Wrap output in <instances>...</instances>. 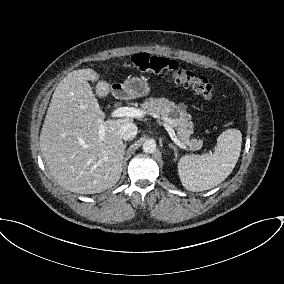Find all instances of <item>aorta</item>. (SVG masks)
<instances>
[{"mask_svg": "<svg viewBox=\"0 0 284 284\" xmlns=\"http://www.w3.org/2000/svg\"><path fill=\"white\" fill-rule=\"evenodd\" d=\"M156 150V142L153 139L146 140L143 143V151L146 153H153Z\"/></svg>", "mask_w": 284, "mask_h": 284, "instance_id": "obj_1", "label": "aorta"}]
</instances>
